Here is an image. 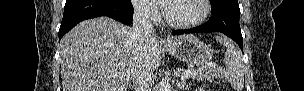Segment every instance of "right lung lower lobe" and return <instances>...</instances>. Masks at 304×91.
<instances>
[{
	"label": "right lung lower lobe",
	"mask_w": 304,
	"mask_h": 91,
	"mask_svg": "<svg viewBox=\"0 0 304 91\" xmlns=\"http://www.w3.org/2000/svg\"><path fill=\"white\" fill-rule=\"evenodd\" d=\"M133 12L130 0H66L59 38L61 39L79 22L98 16H108L130 25Z\"/></svg>",
	"instance_id": "right-lung-lower-lobe-1"
}]
</instances>
